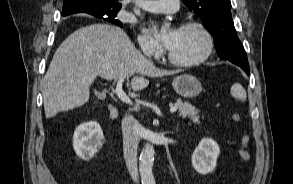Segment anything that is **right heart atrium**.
<instances>
[{"mask_svg":"<svg viewBox=\"0 0 293 184\" xmlns=\"http://www.w3.org/2000/svg\"><path fill=\"white\" fill-rule=\"evenodd\" d=\"M138 43L141 50L146 55L159 56L161 53V47L158 42L146 32H142L139 35Z\"/></svg>","mask_w":293,"mask_h":184,"instance_id":"obj_1","label":"right heart atrium"}]
</instances>
